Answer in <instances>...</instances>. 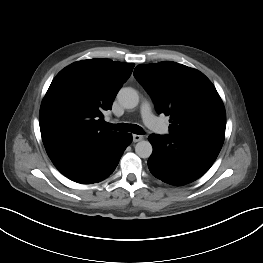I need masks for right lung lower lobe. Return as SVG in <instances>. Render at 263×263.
Wrapping results in <instances>:
<instances>
[{"label": "right lung lower lobe", "mask_w": 263, "mask_h": 263, "mask_svg": "<svg viewBox=\"0 0 263 263\" xmlns=\"http://www.w3.org/2000/svg\"><path fill=\"white\" fill-rule=\"evenodd\" d=\"M131 141L130 133H120L105 143L74 150L53 164L64 176L77 183L100 182L113 173Z\"/></svg>", "instance_id": "right-lung-lower-lobe-1"}]
</instances>
